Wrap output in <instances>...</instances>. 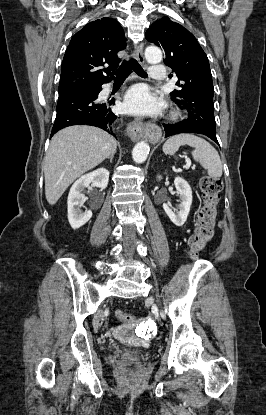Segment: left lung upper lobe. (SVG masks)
I'll use <instances>...</instances> for the list:
<instances>
[{"instance_id":"5c2ea615","label":"left lung upper lobe","mask_w":266,"mask_h":415,"mask_svg":"<svg viewBox=\"0 0 266 415\" xmlns=\"http://www.w3.org/2000/svg\"><path fill=\"white\" fill-rule=\"evenodd\" d=\"M145 36L164 50V63L178 77V89L170 95L179 107L188 111L185 122L216 133L212 74L209 60L196 38L168 17L156 20Z\"/></svg>"}]
</instances>
